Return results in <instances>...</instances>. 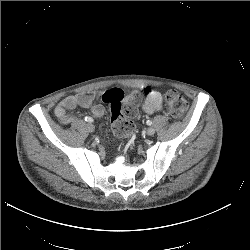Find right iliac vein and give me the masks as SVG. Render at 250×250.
Here are the masks:
<instances>
[{"instance_id":"right-iliac-vein-1","label":"right iliac vein","mask_w":250,"mask_h":250,"mask_svg":"<svg viewBox=\"0 0 250 250\" xmlns=\"http://www.w3.org/2000/svg\"><path fill=\"white\" fill-rule=\"evenodd\" d=\"M87 129L89 132H94L95 131V127L92 124H87Z\"/></svg>"}]
</instances>
